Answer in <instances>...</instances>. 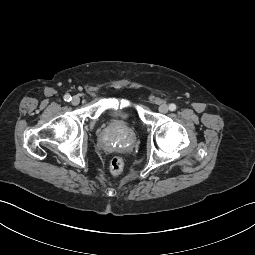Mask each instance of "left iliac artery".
I'll list each match as a JSON object with an SVG mask.
<instances>
[{"label": "left iliac artery", "instance_id": "44dca946", "mask_svg": "<svg viewBox=\"0 0 255 255\" xmlns=\"http://www.w3.org/2000/svg\"><path fill=\"white\" fill-rule=\"evenodd\" d=\"M176 108H177L176 105L173 104V103L169 105V110H170V111H175Z\"/></svg>", "mask_w": 255, "mask_h": 255}]
</instances>
